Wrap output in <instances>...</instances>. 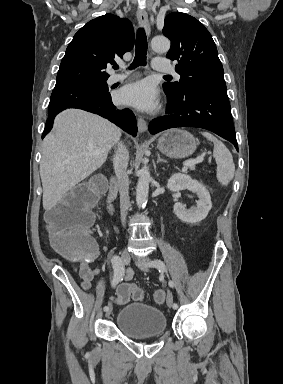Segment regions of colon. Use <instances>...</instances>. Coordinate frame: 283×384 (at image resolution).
Masks as SVG:
<instances>
[{
    "label": "colon",
    "instance_id": "obj_1",
    "mask_svg": "<svg viewBox=\"0 0 283 384\" xmlns=\"http://www.w3.org/2000/svg\"><path fill=\"white\" fill-rule=\"evenodd\" d=\"M101 181L95 180L78 186L67 193L46 216L49 238L54 248L73 261H90L97 254V247L90 234L93 207L97 201ZM165 292L157 290L154 300L165 301ZM143 300L144 292L133 284H123L117 294L110 297L116 304H124L130 298Z\"/></svg>",
    "mask_w": 283,
    "mask_h": 384
}]
</instances>
